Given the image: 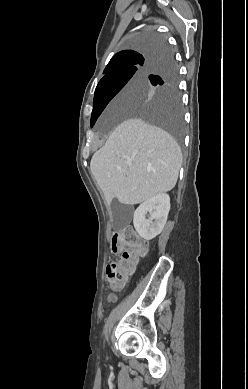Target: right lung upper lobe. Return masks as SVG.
I'll list each match as a JSON object with an SVG mask.
<instances>
[{
    "label": "right lung upper lobe",
    "instance_id": "obj_1",
    "mask_svg": "<svg viewBox=\"0 0 248 389\" xmlns=\"http://www.w3.org/2000/svg\"><path fill=\"white\" fill-rule=\"evenodd\" d=\"M161 48L162 47H154L149 50L140 48L139 52L141 53L133 50L121 51L112 57L103 73L108 74L117 69L135 64L141 65L142 67H147L150 64L155 65L158 63V59L161 56L157 54Z\"/></svg>",
    "mask_w": 248,
    "mask_h": 389
}]
</instances>
